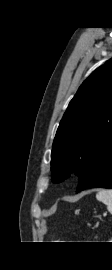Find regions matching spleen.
Wrapping results in <instances>:
<instances>
[{"instance_id":"spleen-1","label":"spleen","mask_w":112,"mask_h":270,"mask_svg":"<svg viewBox=\"0 0 112 270\" xmlns=\"http://www.w3.org/2000/svg\"><path fill=\"white\" fill-rule=\"evenodd\" d=\"M98 201L107 205V210L112 214V190H101L96 194Z\"/></svg>"}]
</instances>
